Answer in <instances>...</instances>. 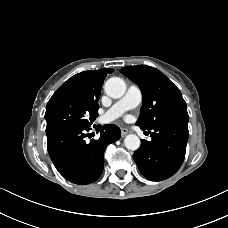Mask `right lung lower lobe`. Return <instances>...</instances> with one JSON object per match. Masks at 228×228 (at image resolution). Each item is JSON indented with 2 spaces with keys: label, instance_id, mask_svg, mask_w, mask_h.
Returning <instances> with one entry per match:
<instances>
[{
  "label": "right lung lower lobe",
  "instance_id": "right-lung-lower-lobe-1",
  "mask_svg": "<svg viewBox=\"0 0 228 228\" xmlns=\"http://www.w3.org/2000/svg\"><path fill=\"white\" fill-rule=\"evenodd\" d=\"M90 127H68L47 135L50 158L58 172L68 181L85 185L96 181L103 171L104 150L120 138L114 124L104 125L98 140L87 142Z\"/></svg>",
  "mask_w": 228,
  "mask_h": 228
}]
</instances>
